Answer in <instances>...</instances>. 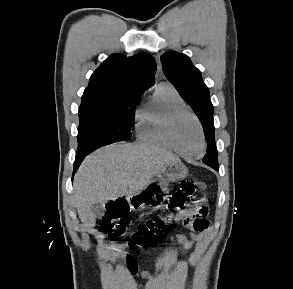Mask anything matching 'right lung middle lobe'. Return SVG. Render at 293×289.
Wrapping results in <instances>:
<instances>
[{
  "label": "right lung middle lobe",
  "mask_w": 293,
  "mask_h": 289,
  "mask_svg": "<svg viewBox=\"0 0 293 289\" xmlns=\"http://www.w3.org/2000/svg\"><path fill=\"white\" fill-rule=\"evenodd\" d=\"M135 98L82 103L78 113L77 152H92L114 142L129 140L134 114L127 113V108Z\"/></svg>",
  "instance_id": "1"
}]
</instances>
